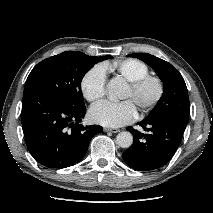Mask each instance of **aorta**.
<instances>
[{
    "label": "aorta",
    "instance_id": "762f6f07",
    "mask_svg": "<svg viewBox=\"0 0 213 213\" xmlns=\"http://www.w3.org/2000/svg\"><path fill=\"white\" fill-rule=\"evenodd\" d=\"M123 84L117 79L111 80L107 85V93L111 99L119 98L122 94ZM116 143L121 148H129L133 143V136L128 131L120 132L116 136Z\"/></svg>",
    "mask_w": 213,
    "mask_h": 213
}]
</instances>
